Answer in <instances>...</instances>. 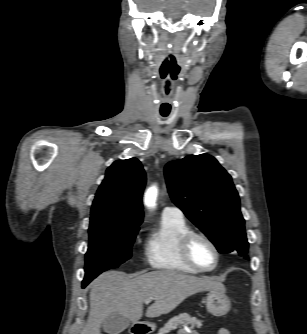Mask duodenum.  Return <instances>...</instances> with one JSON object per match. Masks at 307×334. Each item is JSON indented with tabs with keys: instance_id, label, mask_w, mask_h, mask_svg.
<instances>
[{
	"instance_id": "duodenum-1",
	"label": "duodenum",
	"mask_w": 307,
	"mask_h": 334,
	"mask_svg": "<svg viewBox=\"0 0 307 334\" xmlns=\"http://www.w3.org/2000/svg\"><path fill=\"white\" fill-rule=\"evenodd\" d=\"M131 334H150V330L144 328V327H135L132 329Z\"/></svg>"
}]
</instances>
